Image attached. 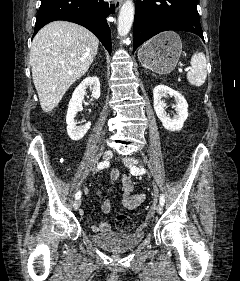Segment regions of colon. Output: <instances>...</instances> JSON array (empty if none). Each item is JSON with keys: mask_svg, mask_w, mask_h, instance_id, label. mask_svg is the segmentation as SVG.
<instances>
[{"mask_svg": "<svg viewBox=\"0 0 240 281\" xmlns=\"http://www.w3.org/2000/svg\"><path fill=\"white\" fill-rule=\"evenodd\" d=\"M116 227L124 232L131 231L133 229V222L129 216L124 213H117L115 216Z\"/></svg>", "mask_w": 240, "mask_h": 281, "instance_id": "5ec220e1", "label": "colon"}]
</instances>
